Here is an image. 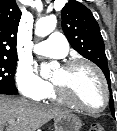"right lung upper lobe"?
Masks as SVG:
<instances>
[{
  "mask_svg": "<svg viewBox=\"0 0 117 131\" xmlns=\"http://www.w3.org/2000/svg\"><path fill=\"white\" fill-rule=\"evenodd\" d=\"M21 14L15 0H0V53L17 55V31Z\"/></svg>",
  "mask_w": 117,
  "mask_h": 131,
  "instance_id": "cb5924a9",
  "label": "right lung upper lobe"
}]
</instances>
